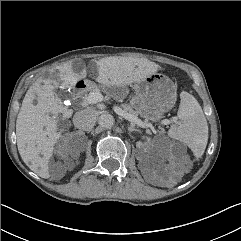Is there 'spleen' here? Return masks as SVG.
<instances>
[{"instance_id":"1","label":"spleen","mask_w":241,"mask_h":241,"mask_svg":"<svg viewBox=\"0 0 241 241\" xmlns=\"http://www.w3.org/2000/svg\"><path fill=\"white\" fill-rule=\"evenodd\" d=\"M181 102L177 117L179 126L169 129L168 135L185 143L199 158L203 155L208 142V125L198 101L188 92H181Z\"/></svg>"}]
</instances>
